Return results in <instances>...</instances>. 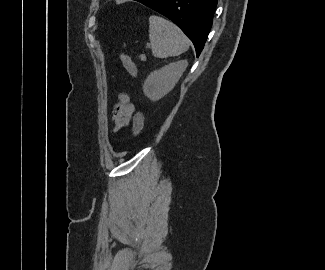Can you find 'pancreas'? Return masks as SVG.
Segmentation results:
<instances>
[{"instance_id":"cf45deb5","label":"pancreas","mask_w":325,"mask_h":270,"mask_svg":"<svg viewBox=\"0 0 325 270\" xmlns=\"http://www.w3.org/2000/svg\"><path fill=\"white\" fill-rule=\"evenodd\" d=\"M142 61H146V56L144 54L140 55Z\"/></svg>"}]
</instances>
